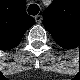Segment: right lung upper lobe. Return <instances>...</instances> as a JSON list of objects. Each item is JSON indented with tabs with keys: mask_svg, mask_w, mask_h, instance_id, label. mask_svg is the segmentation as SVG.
<instances>
[{
	"mask_svg": "<svg viewBox=\"0 0 80 80\" xmlns=\"http://www.w3.org/2000/svg\"><path fill=\"white\" fill-rule=\"evenodd\" d=\"M33 24L22 0L8 2L0 12V45L7 49L17 46Z\"/></svg>",
	"mask_w": 80,
	"mask_h": 80,
	"instance_id": "obj_1",
	"label": "right lung upper lobe"
}]
</instances>
